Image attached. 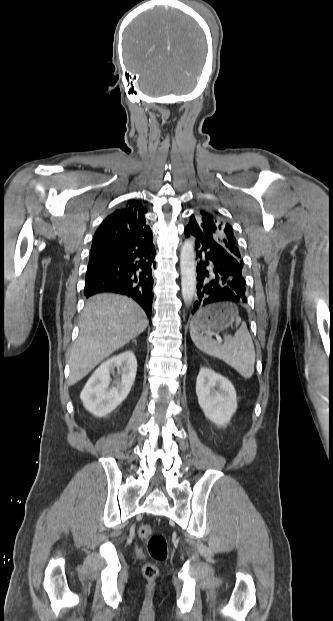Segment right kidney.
<instances>
[{
    "label": "right kidney",
    "instance_id": "obj_1",
    "mask_svg": "<svg viewBox=\"0 0 333 621\" xmlns=\"http://www.w3.org/2000/svg\"><path fill=\"white\" fill-rule=\"evenodd\" d=\"M115 369L121 378L111 386L110 375ZM137 360L131 350H126L103 362L84 386L80 398L86 410L102 417L115 410L128 396L135 381Z\"/></svg>",
    "mask_w": 333,
    "mask_h": 621
}]
</instances>
